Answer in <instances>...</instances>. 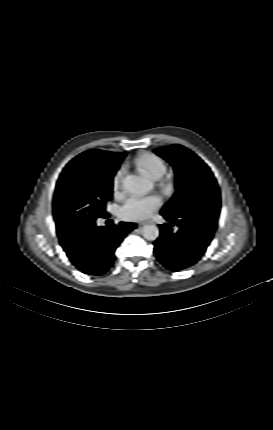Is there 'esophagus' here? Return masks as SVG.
<instances>
[{"label":"esophagus","mask_w":273,"mask_h":430,"mask_svg":"<svg viewBox=\"0 0 273 430\" xmlns=\"http://www.w3.org/2000/svg\"><path fill=\"white\" fill-rule=\"evenodd\" d=\"M151 221H146V222H141L140 225H144V224H151Z\"/></svg>","instance_id":"1"}]
</instances>
